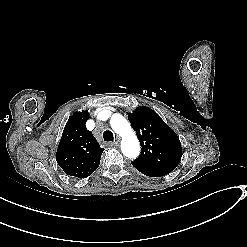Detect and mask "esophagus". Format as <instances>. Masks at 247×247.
<instances>
[{
	"mask_svg": "<svg viewBox=\"0 0 247 247\" xmlns=\"http://www.w3.org/2000/svg\"><path fill=\"white\" fill-rule=\"evenodd\" d=\"M119 145V141H116L114 144H111V146H118Z\"/></svg>",
	"mask_w": 247,
	"mask_h": 247,
	"instance_id": "34e87169",
	"label": "esophagus"
}]
</instances>
